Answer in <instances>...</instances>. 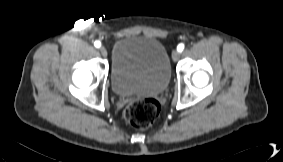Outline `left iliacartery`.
<instances>
[{
	"instance_id": "obj_1",
	"label": "left iliac artery",
	"mask_w": 283,
	"mask_h": 162,
	"mask_svg": "<svg viewBox=\"0 0 283 162\" xmlns=\"http://www.w3.org/2000/svg\"><path fill=\"white\" fill-rule=\"evenodd\" d=\"M183 49H184V44H183V43H180V44L177 46V50H178L179 52H182Z\"/></svg>"
}]
</instances>
